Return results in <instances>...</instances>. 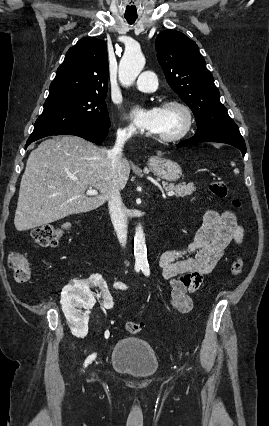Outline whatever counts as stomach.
<instances>
[{"mask_svg": "<svg viewBox=\"0 0 269 426\" xmlns=\"http://www.w3.org/2000/svg\"><path fill=\"white\" fill-rule=\"evenodd\" d=\"M150 169L166 181H176L182 176L180 165L170 159L156 157L148 163Z\"/></svg>", "mask_w": 269, "mask_h": 426, "instance_id": "1", "label": "stomach"}]
</instances>
